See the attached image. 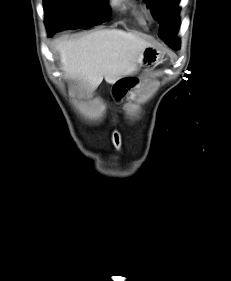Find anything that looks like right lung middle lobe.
Segmentation results:
<instances>
[{
  "label": "right lung middle lobe",
  "instance_id": "dd1d6c3e",
  "mask_svg": "<svg viewBox=\"0 0 231 281\" xmlns=\"http://www.w3.org/2000/svg\"><path fill=\"white\" fill-rule=\"evenodd\" d=\"M48 31L100 25L110 18L106 0H43Z\"/></svg>",
  "mask_w": 231,
  "mask_h": 281
}]
</instances>
